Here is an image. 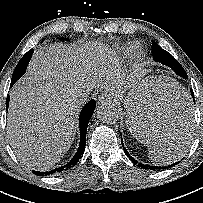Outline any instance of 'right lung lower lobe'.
Masks as SVG:
<instances>
[{"mask_svg":"<svg viewBox=\"0 0 203 203\" xmlns=\"http://www.w3.org/2000/svg\"><path fill=\"white\" fill-rule=\"evenodd\" d=\"M33 54V49H30L19 61V65L20 66H24L27 68V65L30 61V58ZM14 83L11 82V86ZM9 106V96L7 97L6 100V108H8ZM96 107V102L95 100H90L82 109L80 116H79V126H80V144H79V148L76 152V154L73 156V158L70 160V162H68L66 165H63L61 167L55 168L51 171H47V172H37V171H32L34 174L38 175V176H47L50 174H54L56 172H61L64 170H68L69 168L73 167L74 165L77 164V162L79 161V159L82 157L83 152L85 150V145H86V131H87V127H88V123L89 120L91 118V116L94 113Z\"/></svg>","mask_w":203,"mask_h":203,"instance_id":"obj_1","label":"right lung lower lobe"}]
</instances>
